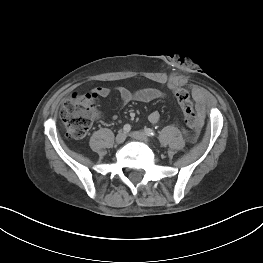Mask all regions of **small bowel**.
Returning a JSON list of instances; mask_svg holds the SVG:
<instances>
[{"mask_svg":"<svg viewBox=\"0 0 263 263\" xmlns=\"http://www.w3.org/2000/svg\"><path fill=\"white\" fill-rule=\"evenodd\" d=\"M175 88V86H172L171 89L173 90ZM96 96L99 97H107L110 94V89L107 87H97L94 89L93 91ZM117 92L122 100V102L128 103L131 101H138V102H150L156 99H160L164 97V93L162 91H160L157 88L154 87H150V86H144L141 87L135 91H131L130 89L126 88V87H118L117 88ZM193 98L196 102V107L197 110L199 112V118L201 121V124L198 128L197 134H195V136H189L192 138V143H197L198 140H200V138L202 137V135L204 134V130L206 128V116L204 114L205 112V96L204 94L200 91V90H194L193 91ZM160 113L157 111H153L152 113H150L148 119L152 124H156L160 121ZM185 132V131H184Z\"/></svg>","mask_w":263,"mask_h":263,"instance_id":"obj_1","label":"small bowel"}]
</instances>
